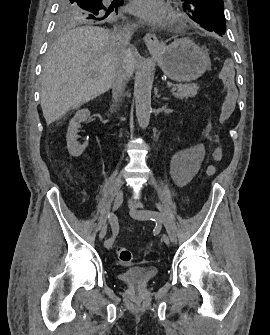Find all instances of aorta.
Instances as JSON below:
<instances>
[{"mask_svg": "<svg viewBox=\"0 0 270 335\" xmlns=\"http://www.w3.org/2000/svg\"><path fill=\"white\" fill-rule=\"evenodd\" d=\"M152 78L150 64L146 62L135 80V108L140 128H147L150 122Z\"/></svg>", "mask_w": 270, "mask_h": 335, "instance_id": "obj_1", "label": "aorta"}]
</instances>
